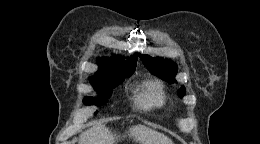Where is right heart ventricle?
Listing matches in <instances>:
<instances>
[{"instance_id": "obj_1", "label": "right heart ventricle", "mask_w": 260, "mask_h": 144, "mask_svg": "<svg viewBox=\"0 0 260 144\" xmlns=\"http://www.w3.org/2000/svg\"><path fill=\"white\" fill-rule=\"evenodd\" d=\"M136 103L143 109L162 107L165 104V96L161 85L155 81H148L141 86Z\"/></svg>"}]
</instances>
